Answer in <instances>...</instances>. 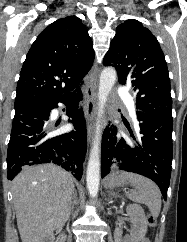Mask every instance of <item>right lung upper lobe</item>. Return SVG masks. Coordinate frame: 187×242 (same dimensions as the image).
I'll use <instances>...</instances> for the list:
<instances>
[{"mask_svg": "<svg viewBox=\"0 0 187 242\" xmlns=\"http://www.w3.org/2000/svg\"><path fill=\"white\" fill-rule=\"evenodd\" d=\"M93 61L92 40L81 19L68 16L53 22L23 63L15 108L42 105L78 90Z\"/></svg>", "mask_w": 187, "mask_h": 242, "instance_id": "right-lung-upper-lobe-1", "label": "right lung upper lobe"}]
</instances>
